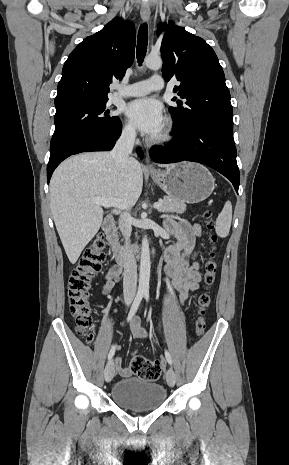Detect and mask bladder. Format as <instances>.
I'll use <instances>...</instances> for the list:
<instances>
[{
  "label": "bladder",
  "mask_w": 289,
  "mask_h": 465,
  "mask_svg": "<svg viewBox=\"0 0 289 465\" xmlns=\"http://www.w3.org/2000/svg\"><path fill=\"white\" fill-rule=\"evenodd\" d=\"M163 385L131 377L118 380L111 389V398L119 406L131 410H154L166 399Z\"/></svg>",
  "instance_id": "1"
}]
</instances>
